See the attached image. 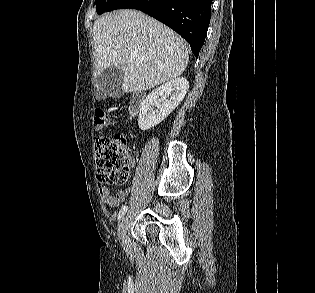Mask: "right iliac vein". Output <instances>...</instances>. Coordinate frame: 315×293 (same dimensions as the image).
<instances>
[{"instance_id":"obj_1","label":"right iliac vein","mask_w":315,"mask_h":293,"mask_svg":"<svg viewBox=\"0 0 315 293\" xmlns=\"http://www.w3.org/2000/svg\"><path fill=\"white\" fill-rule=\"evenodd\" d=\"M118 231L120 235V239L124 245L125 248L129 247V241L127 236V224H126V218H122L118 224Z\"/></svg>"}]
</instances>
